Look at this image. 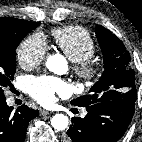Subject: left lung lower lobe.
I'll list each match as a JSON object with an SVG mask.
<instances>
[{"label": "left lung lower lobe", "instance_id": "0a47b994", "mask_svg": "<svg viewBox=\"0 0 142 142\" xmlns=\"http://www.w3.org/2000/svg\"><path fill=\"white\" fill-rule=\"evenodd\" d=\"M136 99L99 102L86 107L84 118H72L63 142H116L127 130Z\"/></svg>", "mask_w": 142, "mask_h": 142}]
</instances>
